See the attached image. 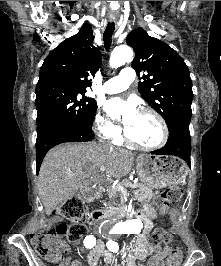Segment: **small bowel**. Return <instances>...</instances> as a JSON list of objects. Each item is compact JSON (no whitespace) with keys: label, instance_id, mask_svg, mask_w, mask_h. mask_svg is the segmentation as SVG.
I'll use <instances>...</instances> for the list:
<instances>
[{"label":"small bowel","instance_id":"c3829d8e","mask_svg":"<svg viewBox=\"0 0 221 266\" xmlns=\"http://www.w3.org/2000/svg\"><path fill=\"white\" fill-rule=\"evenodd\" d=\"M150 229L148 224L145 232L136 236V240L129 247V251L125 260V266H136L137 259H145L152 252L153 255L149 259V266H170L169 251L171 247L151 246L147 241V232ZM67 249V248H66ZM103 256L106 266H119L115 255L109 251H104L101 247H96L88 255V260L92 266L98 263L99 258ZM72 266H82L80 262L74 261Z\"/></svg>","mask_w":221,"mask_h":266}]
</instances>
